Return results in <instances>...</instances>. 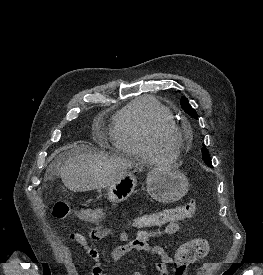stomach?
I'll list each match as a JSON object with an SVG mask.
<instances>
[{"label":"stomach","instance_id":"0dacf381","mask_svg":"<svg viewBox=\"0 0 263 275\" xmlns=\"http://www.w3.org/2000/svg\"><path fill=\"white\" fill-rule=\"evenodd\" d=\"M140 170L135 166L122 178L108 186V199L113 203H119L128 199L137 186L136 172ZM147 192L161 203H172L180 200L188 192L189 182L186 176L169 166H156L147 174Z\"/></svg>","mask_w":263,"mask_h":275}]
</instances>
